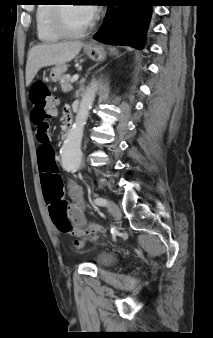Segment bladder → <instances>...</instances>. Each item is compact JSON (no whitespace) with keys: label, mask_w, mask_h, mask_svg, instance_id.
Masks as SVG:
<instances>
[{"label":"bladder","mask_w":213,"mask_h":338,"mask_svg":"<svg viewBox=\"0 0 213 338\" xmlns=\"http://www.w3.org/2000/svg\"><path fill=\"white\" fill-rule=\"evenodd\" d=\"M115 256L112 253L104 252L98 256L97 263L101 268L108 267L115 262Z\"/></svg>","instance_id":"obj_1"}]
</instances>
